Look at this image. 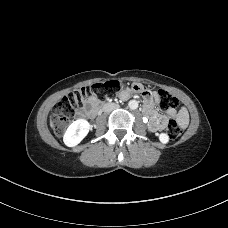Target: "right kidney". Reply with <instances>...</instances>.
Instances as JSON below:
<instances>
[{
    "label": "right kidney",
    "mask_w": 228,
    "mask_h": 228,
    "mask_svg": "<svg viewBox=\"0 0 228 228\" xmlns=\"http://www.w3.org/2000/svg\"><path fill=\"white\" fill-rule=\"evenodd\" d=\"M90 124L85 119H78L69 125L64 136L63 141L66 146L74 147L78 145L88 134Z\"/></svg>",
    "instance_id": "ca27d5eb"
}]
</instances>
